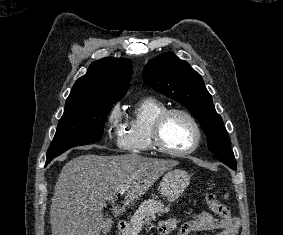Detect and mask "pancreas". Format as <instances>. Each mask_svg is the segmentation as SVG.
Instances as JSON below:
<instances>
[{
    "label": "pancreas",
    "mask_w": 283,
    "mask_h": 235,
    "mask_svg": "<svg viewBox=\"0 0 283 235\" xmlns=\"http://www.w3.org/2000/svg\"><path fill=\"white\" fill-rule=\"evenodd\" d=\"M167 212H169V206H165L160 200L149 199L141 203L130 220L133 235H138L146 222L155 220L156 214L161 216L163 213Z\"/></svg>",
    "instance_id": "obj_1"
}]
</instances>
